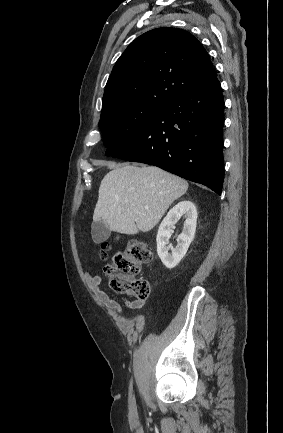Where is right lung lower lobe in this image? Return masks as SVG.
I'll list each match as a JSON object with an SVG mask.
<instances>
[{"label": "right lung lower lobe", "instance_id": "1", "mask_svg": "<svg viewBox=\"0 0 283 433\" xmlns=\"http://www.w3.org/2000/svg\"><path fill=\"white\" fill-rule=\"evenodd\" d=\"M224 99L219 80L165 105L112 157L158 166L221 194Z\"/></svg>", "mask_w": 283, "mask_h": 433}]
</instances>
